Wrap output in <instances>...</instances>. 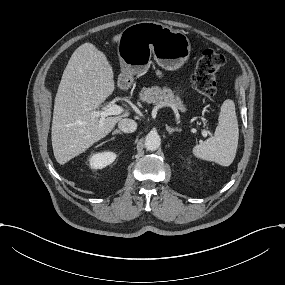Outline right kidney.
<instances>
[{"mask_svg": "<svg viewBox=\"0 0 285 285\" xmlns=\"http://www.w3.org/2000/svg\"><path fill=\"white\" fill-rule=\"evenodd\" d=\"M116 158L113 153H101L94 155L90 158V165L94 169H101L111 164Z\"/></svg>", "mask_w": 285, "mask_h": 285, "instance_id": "ca27d5eb", "label": "right kidney"}]
</instances>
